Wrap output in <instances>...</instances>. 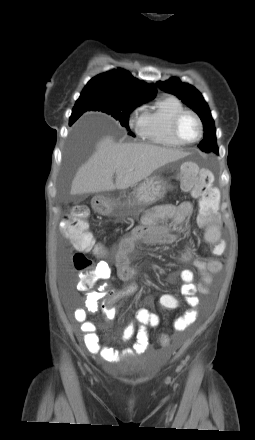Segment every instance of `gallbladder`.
<instances>
[{
    "label": "gallbladder",
    "mask_w": 255,
    "mask_h": 440,
    "mask_svg": "<svg viewBox=\"0 0 255 440\" xmlns=\"http://www.w3.org/2000/svg\"><path fill=\"white\" fill-rule=\"evenodd\" d=\"M85 199V196H79V201H82Z\"/></svg>",
    "instance_id": "bac80fb5"
}]
</instances>
